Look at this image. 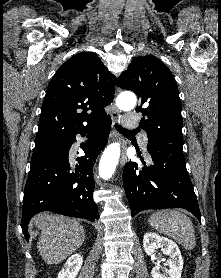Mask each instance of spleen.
<instances>
[{
    "mask_svg": "<svg viewBox=\"0 0 221 278\" xmlns=\"http://www.w3.org/2000/svg\"><path fill=\"white\" fill-rule=\"evenodd\" d=\"M149 224L158 232L173 238L185 249L192 250L196 245L191 220L177 210L157 211L150 216Z\"/></svg>",
    "mask_w": 221,
    "mask_h": 278,
    "instance_id": "spleen-1",
    "label": "spleen"
}]
</instances>
